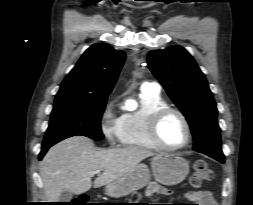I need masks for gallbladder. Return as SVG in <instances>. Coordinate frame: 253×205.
I'll use <instances>...</instances> for the list:
<instances>
[{
  "label": "gallbladder",
  "instance_id": "bac80fb5",
  "mask_svg": "<svg viewBox=\"0 0 253 205\" xmlns=\"http://www.w3.org/2000/svg\"><path fill=\"white\" fill-rule=\"evenodd\" d=\"M72 197H73V193L68 190H65L61 193L59 197V202H70Z\"/></svg>",
  "mask_w": 253,
  "mask_h": 205
}]
</instances>
